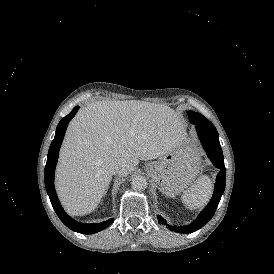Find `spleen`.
Masks as SVG:
<instances>
[{"label":"spleen","instance_id":"1","mask_svg":"<svg viewBox=\"0 0 274 274\" xmlns=\"http://www.w3.org/2000/svg\"><path fill=\"white\" fill-rule=\"evenodd\" d=\"M212 192L213 184L211 179L206 175H202L189 188L183 191L181 199L187 208L196 209L208 203Z\"/></svg>","mask_w":274,"mask_h":274}]
</instances>
